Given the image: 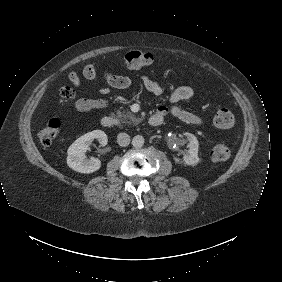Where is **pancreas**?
<instances>
[{"mask_svg":"<svg viewBox=\"0 0 282 282\" xmlns=\"http://www.w3.org/2000/svg\"><path fill=\"white\" fill-rule=\"evenodd\" d=\"M116 113H117V118H119L122 123H126V124L134 123L135 125H137L143 121L142 117L141 118L136 117L133 113H131L128 110L125 111L117 110Z\"/></svg>","mask_w":282,"mask_h":282,"instance_id":"1","label":"pancreas"}]
</instances>
